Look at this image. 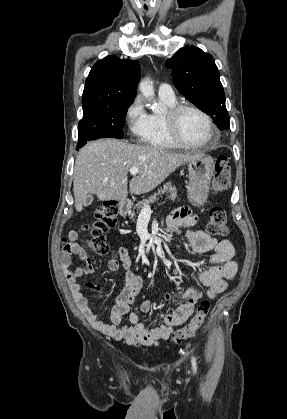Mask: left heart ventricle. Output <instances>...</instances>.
<instances>
[{
	"mask_svg": "<svg viewBox=\"0 0 287 419\" xmlns=\"http://www.w3.org/2000/svg\"><path fill=\"white\" fill-rule=\"evenodd\" d=\"M178 130L185 141L193 144L202 143L210 136V130L205 119L192 110H185L180 114Z\"/></svg>",
	"mask_w": 287,
	"mask_h": 419,
	"instance_id": "b2bd125f",
	"label": "left heart ventricle"
}]
</instances>
